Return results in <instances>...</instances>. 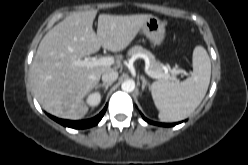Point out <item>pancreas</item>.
<instances>
[{
	"mask_svg": "<svg viewBox=\"0 0 248 165\" xmlns=\"http://www.w3.org/2000/svg\"><path fill=\"white\" fill-rule=\"evenodd\" d=\"M136 54H144L149 59V69L151 71L162 73V63L155 59V56L148 50L144 49L143 47L136 45L133 46L128 50V56H134Z\"/></svg>",
	"mask_w": 248,
	"mask_h": 165,
	"instance_id": "pancreas-1",
	"label": "pancreas"
}]
</instances>
